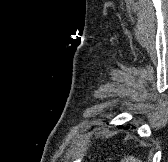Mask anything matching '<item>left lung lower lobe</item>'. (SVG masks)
Listing matches in <instances>:
<instances>
[{
    "mask_svg": "<svg viewBox=\"0 0 168 162\" xmlns=\"http://www.w3.org/2000/svg\"><path fill=\"white\" fill-rule=\"evenodd\" d=\"M123 126H120V128H122ZM129 127L128 126H126V127H124V129H128ZM133 128H135L134 126H133Z\"/></svg>",
    "mask_w": 168,
    "mask_h": 162,
    "instance_id": "obj_1",
    "label": "left lung lower lobe"
}]
</instances>
